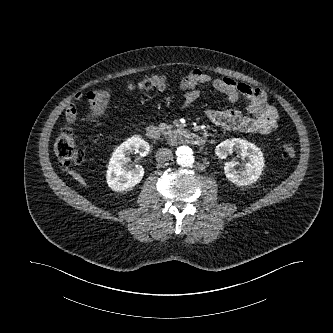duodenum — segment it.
I'll list each match as a JSON object with an SVG mask.
<instances>
[{"mask_svg": "<svg viewBox=\"0 0 333 333\" xmlns=\"http://www.w3.org/2000/svg\"><path fill=\"white\" fill-rule=\"evenodd\" d=\"M160 135V130L155 126H149L146 130V137L151 140L158 139ZM169 141L172 143L184 142L196 146H203L205 144V139L202 136L184 129L172 133Z\"/></svg>", "mask_w": 333, "mask_h": 333, "instance_id": "duodenum-1", "label": "duodenum"}]
</instances>
